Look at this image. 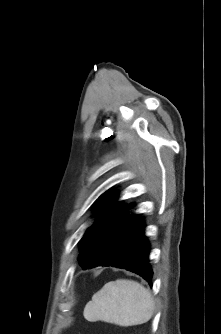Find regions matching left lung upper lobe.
Instances as JSON below:
<instances>
[{
	"mask_svg": "<svg viewBox=\"0 0 221 334\" xmlns=\"http://www.w3.org/2000/svg\"><path fill=\"white\" fill-rule=\"evenodd\" d=\"M98 210V218L95 223L88 228L80 242L79 264L86 268L94 261V249L100 238L107 231L110 225L126 208L120 202L116 201V194L112 191H106L95 204Z\"/></svg>",
	"mask_w": 221,
	"mask_h": 334,
	"instance_id": "obj_1",
	"label": "left lung upper lobe"
}]
</instances>
